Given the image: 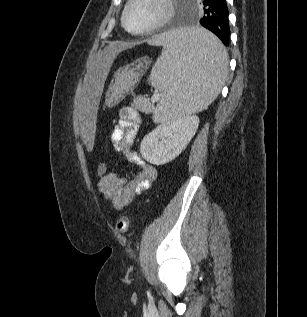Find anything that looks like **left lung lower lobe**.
I'll return each mask as SVG.
<instances>
[{
    "label": "left lung lower lobe",
    "instance_id": "1",
    "mask_svg": "<svg viewBox=\"0 0 307 317\" xmlns=\"http://www.w3.org/2000/svg\"><path fill=\"white\" fill-rule=\"evenodd\" d=\"M202 3L204 16L200 19V24L213 32L226 47H229L230 28L226 0H203Z\"/></svg>",
    "mask_w": 307,
    "mask_h": 317
}]
</instances>
